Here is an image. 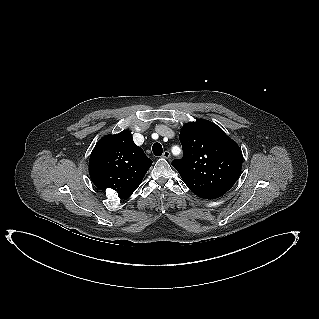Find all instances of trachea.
<instances>
[{
  "instance_id": "1",
  "label": "trachea",
  "mask_w": 319,
  "mask_h": 319,
  "mask_svg": "<svg viewBox=\"0 0 319 319\" xmlns=\"http://www.w3.org/2000/svg\"><path fill=\"white\" fill-rule=\"evenodd\" d=\"M152 151H153L155 156H161L163 153L162 145L158 142L154 143V145L152 147Z\"/></svg>"
}]
</instances>
